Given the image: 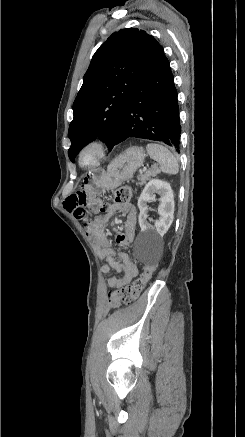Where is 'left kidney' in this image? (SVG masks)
<instances>
[{
    "label": "left kidney",
    "instance_id": "5707ae66",
    "mask_svg": "<svg viewBox=\"0 0 245 437\" xmlns=\"http://www.w3.org/2000/svg\"><path fill=\"white\" fill-rule=\"evenodd\" d=\"M156 193L160 195V204L157 210L159 219L155 221L154 226H151L147 221V213L149 210L147 203L156 200ZM137 205L140 210L138 220L141 233L144 236L155 240L163 237L170 228L174 219L175 203L170 184L158 179L150 180L143 189Z\"/></svg>",
    "mask_w": 245,
    "mask_h": 437
}]
</instances>
